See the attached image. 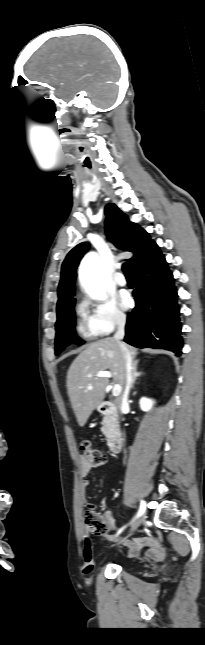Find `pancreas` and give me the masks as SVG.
I'll return each instance as SVG.
<instances>
[{
	"instance_id": "1",
	"label": "pancreas",
	"mask_w": 205,
	"mask_h": 645,
	"mask_svg": "<svg viewBox=\"0 0 205 645\" xmlns=\"http://www.w3.org/2000/svg\"><path fill=\"white\" fill-rule=\"evenodd\" d=\"M110 419L108 416H105L103 421H102V428L101 431L106 437H109L110 435V425H109Z\"/></svg>"
}]
</instances>
